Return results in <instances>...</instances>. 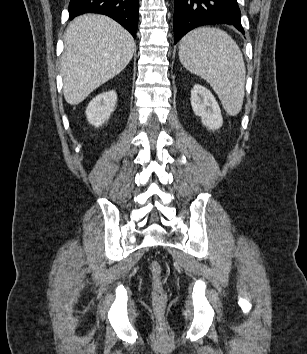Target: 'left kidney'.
Wrapping results in <instances>:
<instances>
[{"label": "left kidney", "mask_w": 307, "mask_h": 354, "mask_svg": "<svg viewBox=\"0 0 307 354\" xmlns=\"http://www.w3.org/2000/svg\"><path fill=\"white\" fill-rule=\"evenodd\" d=\"M191 106L195 115L201 117L202 124L209 130H217L223 124L220 107L212 93L201 85L191 90Z\"/></svg>", "instance_id": "obj_1"}]
</instances>
